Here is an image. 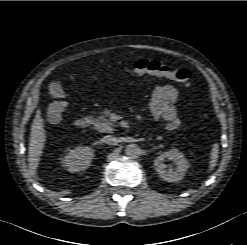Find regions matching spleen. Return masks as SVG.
Here are the masks:
<instances>
[{"mask_svg":"<svg viewBox=\"0 0 247 245\" xmlns=\"http://www.w3.org/2000/svg\"><path fill=\"white\" fill-rule=\"evenodd\" d=\"M218 157H219V145L215 143L212 145V149H211L210 162H209L210 172L214 170L215 166L217 165Z\"/></svg>","mask_w":247,"mask_h":245,"instance_id":"spleen-1","label":"spleen"}]
</instances>
